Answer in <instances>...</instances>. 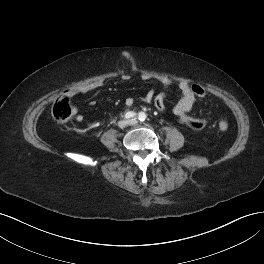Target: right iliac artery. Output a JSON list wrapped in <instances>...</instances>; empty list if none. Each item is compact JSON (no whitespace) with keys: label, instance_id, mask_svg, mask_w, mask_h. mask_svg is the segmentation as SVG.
I'll return each instance as SVG.
<instances>
[{"label":"right iliac artery","instance_id":"82829eb1","mask_svg":"<svg viewBox=\"0 0 264 264\" xmlns=\"http://www.w3.org/2000/svg\"><path fill=\"white\" fill-rule=\"evenodd\" d=\"M125 118L126 119H135L136 118V113L132 112V111H129L125 114Z\"/></svg>","mask_w":264,"mask_h":264}]
</instances>
